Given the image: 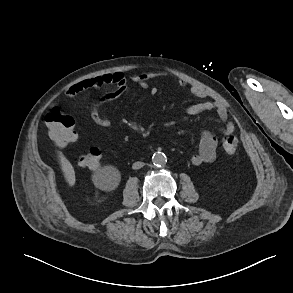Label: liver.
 <instances>
[{"instance_id":"obj_1","label":"liver","mask_w":293,"mask_h":293,"mask_svg":"<svg viewBox=\"0 0 293 293\" xmlns=\"http://www.w3.org/2000/svg\"><path fill=\"white\" fill-rule=\"evenodd\" d=\"M60 163L62 167V171L64 173L65 179L70 186L75 184V171L71 163L65 158L63 154H60Z\"/></svg>"}]
</instances>
